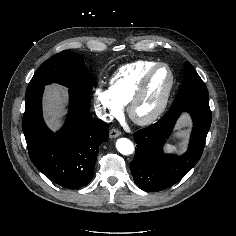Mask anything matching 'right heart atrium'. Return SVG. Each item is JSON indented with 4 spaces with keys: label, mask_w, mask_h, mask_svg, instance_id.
Returning a JSON list of instances; mask_svg holds the SVG:
<instances>
[{
    "label": "right heart atrium",
    "mask_w": 236,
    "mask_h": 236,
    "mask_svg": "<svg viewBox=\"0 0 236 236\" xmlns=\"http://www.w3.org/2000/svg\"><path fill=\"white\" fill-rule=\"evenodd\" d=\"M95 99L104 120L116 117L122 111V105L113 97L109 89L97 88L95 90Z\"/></svg>",
    "instance_id": "1"
}]
</instances>
